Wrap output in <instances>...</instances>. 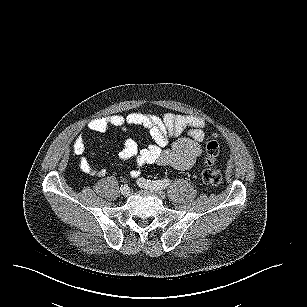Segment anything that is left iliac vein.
<instances>
[{"label": "left iliac vein", "instance_id": "1", "mask_svg": "<svg viewBox=\"0 0 307 307\" xmlns=\"http://www.w3.org/2000/svg\"><path fill=\"white\" fill-rule=\"evenodd\" d=\"M148 189H150L151 191L155 192L162 199H164L166 197V194L164 192H162V191H159L157 188L149 187Z\"/></svg>", "mask_w": 307, "mask_h": 307}]
</instances>
